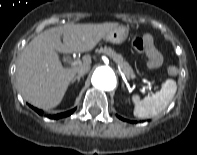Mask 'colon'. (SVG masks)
Returning a JSON list of instances; mask_svg holds the SVG:
<instances>
[{
  "mask_svg": "<svg viewBox=\"0 0 197 155\" xmlns=\"http://www.w3.org/2000/svg\"><path fill=\"white\" fill-rule=\"evenodd\" d=\"M133 45L137 50L145 52L153 65H160L162 61L161 55L156 50L151 40H148L147 38H145L144 40L141 38H135L133 41ZM170 72L173 73L174 69H170Z\"/></svg>",
  "mask_w": 197,
  "mask_h": 155,
  "instance_id": "colon-1",
  "label": "colon"
}]
</instances>
